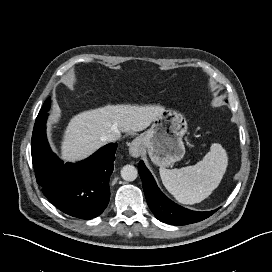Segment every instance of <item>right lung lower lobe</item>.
Returning a JSON list of instances; mask_svg holds the SVG:
<instances>
[{
    "instance_id": "right-lung-lower-lobe-1",
    "label": "right lung lower lobe",
    "mask_w": 272,
    "mask_h": 272,
    "mask_svg": "<svg viewBox=\"0 0 272 272\" xmlns=\"http://www.w3.org/2000/svg\"><path fill=\"white\" fill-rule=\"evenodd\" d=\"M48 113H39L31 153L37 183L47 199L62 212L80 219L99 216L110 199L109 179L117 143H110L89 158L64 164L50 149L46 137Z\"/></svg>"
}]
</instances>
